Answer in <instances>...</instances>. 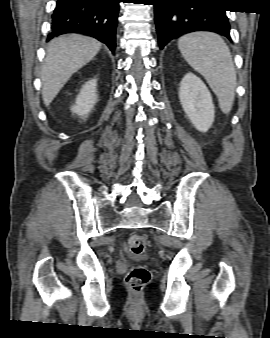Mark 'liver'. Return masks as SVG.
<instances>
[{
    "instance_id": "liver-1",
    "label": "liver",
    "mask_w": 270,
    "mask_h": 338,
    "mask_svg": "<svg viewBox=\"0 0 270 338\" xmlns=\"http://www.w3.org/2000/svg\"><path fill=\"white\" fill-rule=\"evenodd\" d=\"M101 43L96 39L71 34L50 42L41 70L42 98L50 105L69 78L89 63L99 52Z\"/></svg>"
}]
</instances>
